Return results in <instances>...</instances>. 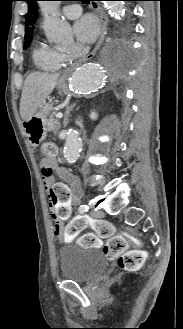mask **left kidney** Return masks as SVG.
<instances>
[{
	"mask_svg": "<svg viewBox=\"0 0 183 329\" xmlns=\"http://www.w3.org/2000/svg\"><path fill=\"white\" fill-rule=\"evenodd\" d=\"M90 118H91L92 120H96V119L98 118V114H97L95 111H93V112H91V114H90Z\"/></svg>",
	"mask_w": 183,
	"mask_h": 329,
	"instance_id": "left-kidney-1",
	"label": "left kidney"
}]
</instances>
